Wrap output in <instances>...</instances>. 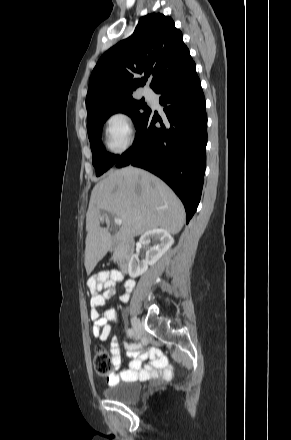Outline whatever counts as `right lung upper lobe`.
Masks as SVG:
<instances>
[{
    "mask_svg": "<svg viewBox=\"0 0 291 440\" xmlns=\"http://www.w3.org/2000/svg\"><path fill=\"white\" fill-rule=\"evenodd\" d=\"M195 63L174 21L160 13L141 17L134 33L105 52L89 80L87 111L132 98L151 78L156 91Z\"/></svg>",
    "mask_w": 291,
    "mask_h": 440,
    "instance_id": "right-lung-upper-lobe-1",
    "label": "right lung upper lobe"
}]
</instances>
